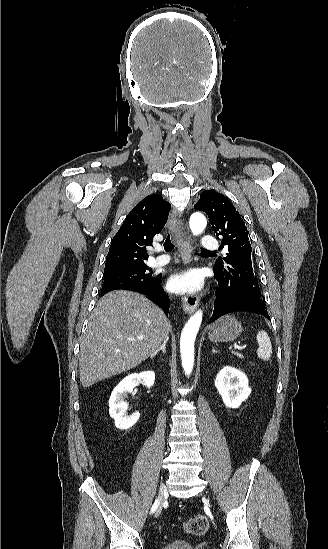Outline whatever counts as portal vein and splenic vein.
I'll return each instance as SVG.
<instances>
[{
    "instance_id": "portal-vein-and-splenic-vein-1",
    "label": "portal vein and splenic vein",
    "mask_w": 328,
    "mask_h": 549,
    "mask_svg": "<svg viewBox=\"0 0 328 549\" xmlns=\"http://www.w3.org/2000/svg\"><path fill=\"white\" fill-rule=\"evenodd\" d=\"M139 341H143L144 337H138ZM234 349H237V351H242V350H245V347L244 345H241L240 348L238 347V345H235Z\"/></svg>"
}]
</instances>
